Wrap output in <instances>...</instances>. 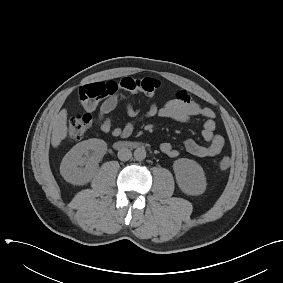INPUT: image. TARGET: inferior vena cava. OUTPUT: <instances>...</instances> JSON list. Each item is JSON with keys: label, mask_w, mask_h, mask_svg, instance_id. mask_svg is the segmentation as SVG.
<instances>
[{"label": "inferior vena cava", "mask_w": 283, "mask_h": 283, "mask_svg": "<svg viewBox=\"0 0 283 283\" xmlns=\"http://www.w3.org/2000/svg\"><path fill=\"white\" fill-rule=\"evenodd\" d=\"M132 157V152L128 148H121L118 151V158L121 161H127Z\"/></svg>", "instance_id": "1"}]
</instances>
